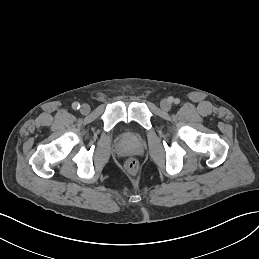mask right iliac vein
I'll use <instances>...</instances> for the list:
<instances>
[{
    "instance_id": "obj_1",
    "label": "right iliac vein",
    "mask_w": 259,
    "mask_h": 259,
    "mask_svg": "<svg viewBox=\"0 0 259 259\" xmlns=\"http://www.w3.org/2000/svg\"><path fill=\"white\" fill-rule=\"evenodd\" d=\"M90 106L88 104H83L80 108V112L84 115L88 114L90 112Z\"/></svg>"
}]
</instances>
